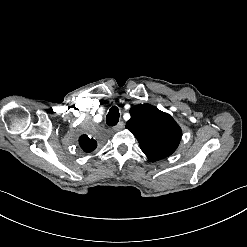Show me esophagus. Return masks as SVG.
Wrapping results in <instances>:
<instances>
[{"instance_id":"obj_1","label":"esophagus","mask_w":247,"mask_h":247,"mask_svg":"<svg viewBox=\"0 0 247 247\" xmlns=\"http://www.w3.org/2000/svg\"><path fill=\"white\" fill-rule=\"evenodd\" d=\"M124 127V122L120 121L116 126L113 127L114 130L119 131Z\"/></svg>"}]
</instances>
